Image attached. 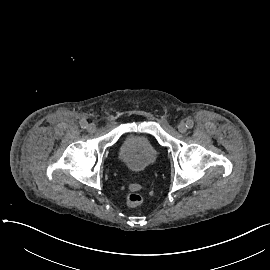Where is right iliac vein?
Wrapping results in <instances>:
<instances>
[{"instance_id":"right-iliac-vein-1","label":"right iliac vein","mask_w":270,"mask_h":270,"mask_svg":"<svg viewBox=\"0 0 270 270\" xmlns=\"http://www.w3.org/2000/svg\"><path fill=\"white\" fill-rule=\"evenodd\" d=\"M95 130H96L95 124L90 123V124L87 126V131H88L89 133H94Z\"/></svg>"}]
</instances>
